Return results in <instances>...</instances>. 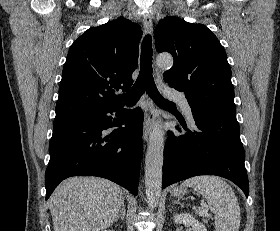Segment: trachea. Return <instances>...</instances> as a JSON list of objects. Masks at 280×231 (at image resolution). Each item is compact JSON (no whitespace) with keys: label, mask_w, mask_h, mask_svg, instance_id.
<instances>
[{"label":"trachea","mask_w":280,"mask_h":231,"mask_svg":"<svg viewBox=\"0 0 280 231\" xmlns=\"http://www.w3.org/2000/svg\"><path fill=\"white\" fill-rule=\"evenodd\" d=\"M145 91L160 108L176 110V105L163 98L154 83V78L152 76V45L150 35H146L142 41L139 76L132 88L127 91V93L121 95V98L126 104L133 105L137 103Z\"/></svg>","instance_id":"1"}]
</instances>
